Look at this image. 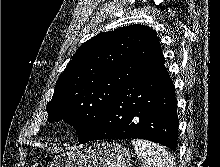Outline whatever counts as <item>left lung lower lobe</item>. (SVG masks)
<instances>
[{"label":"left lung lower lobe","instance_id":"obj_1","mask_svg":"<svg viewBox=\"0 0 220 167\" xmlns=\"http://www.w3.org/2000/svg\"><path fill=\"white\" fill-rule=\"evenodd\" d=\"M177 101L164 62L122 86L108 105L96 133L79 142L113 138H140L176 150Z\"/></svg>","mask_w":220,"mask_h":167}]
</instances>
